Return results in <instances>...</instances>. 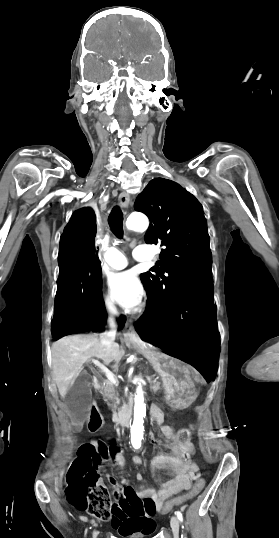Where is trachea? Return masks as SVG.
Instances as JSON below:
<instances>
[{"mask_svg": "<svg viewBox=\"0 0 279 538\" xmlns=\"http://www.w3.org/2000/svg\"><path fill=\"white\" fill-rule=\"evenodd\" d=\"M108 224L114 235L123 238V213L120 207L115 206L108 216Z\"/></svg>", "mask_w": 279, "mask_h": 538, "instance_id": "1", "label": "trachea"}]
</instances>
